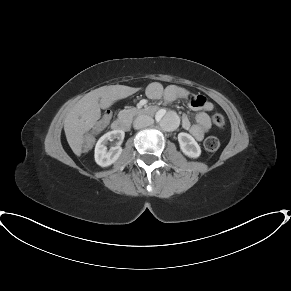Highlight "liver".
<instances>
[{
  "mask_svg": "<svg viewBox=\"0 0 291 291\" xmlns=\"http://www.w3.org/2000/svg\"><path fill=\"white\" fill-rule=\"evenodd\" d=\"M139 88L124 85L103 86L87 93L67 113L64 131L74 154L80 156L83 135L94 127L101 117V108L110 107L115 101L136 93Z\"/></svg>",
  "mask_w": 291,
  "mask_h": 291,
  "instance_id": "1",
  "label": "liver"
}]
</instances>
